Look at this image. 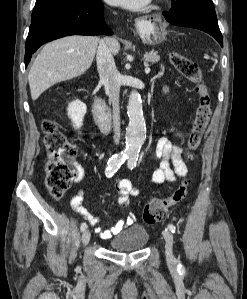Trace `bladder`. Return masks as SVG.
I'll list each match as a JSON object with an SVG mask.
<instances>
[{
	"label": "bladder",
	"instance_id": "31cf9c89",
	"mask_svg": "<svg viewBox=\"0 0 247 299\" xmlns=\"http://www.w3.org/2000/svg\"><path fill=\"white\" fill-rule=\"evenodd\" d=\"M149 235L147 230L141 225H132L114 236L109 246L112 250L118 252H131L142 249Z\"/></svg>",
	"mask_w": 247,
	"mask_h": 299
}]
</instances>
